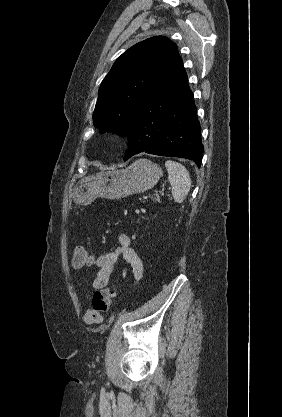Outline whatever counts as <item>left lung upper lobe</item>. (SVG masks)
Segmentation results:
<instances>
[{
	"mask_svg": "<svg viewBox=\"0 0 282 417\" xmlns=\"http://www.w3.org/2000/svg\"><path fill=\"white\" fill-rule=\"evenodd\" d=\"M180 59L176 44L163 36L146 39L123 53L99 88L93 113L99 132L126 136L135 111Z\"/></svg>",
	"mask_w": 282,
	"mask_h": 417,
	"instance_id": "1",
	"label": "left lung upper lobe"
}]
</instances>
